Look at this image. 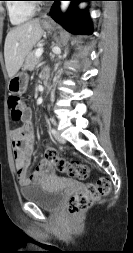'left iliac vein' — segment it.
Segmentation results:
<instances>
[{
    "mask_svg": "<svg viewBox=\"0 0 133 253\" xmlns=\"http://www.w3.org/2000/svg\"><path fill=\"white\" fill-rule=\"evenodd\" d=\"M54 137L59 143H65L66 142V140L61 136V134L59 132H56Z\"/></svg>",
    "mask_w": 133,
    "mask_h": 253,
    "instance_id": "1",
    "label": "left iliac vein"
}]
</instances>
